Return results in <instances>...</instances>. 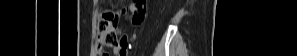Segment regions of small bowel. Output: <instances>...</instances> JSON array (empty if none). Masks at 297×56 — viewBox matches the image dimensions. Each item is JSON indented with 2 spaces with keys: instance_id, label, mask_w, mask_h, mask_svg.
<instances>
[{
  "instance_id": "c3829d8e",
  "label": "small bowel",
  "mask_w": 297,
  "mask_h": 56,
  "mask_svg": "<svg viewBox=\"0 0 297 56\" xmlns=\"http://www.w3.org/2000/svg\"><path fill=\"white\" fill-rule=\"evenodd\" d=\"M128 41H130V33H123V36H120L119 46L115 47L114 49L115 53H118L121 56H125L126 55L125 50L127 48H130V43ZM97 53L100 56L106 55L104 54V51L101 48L97 49Z\"/></svg>"
}]
</instances>
